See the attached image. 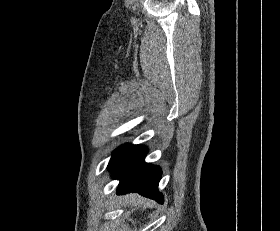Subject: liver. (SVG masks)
<instances>
[{"instance_id":"liver-1","label":"liver","mask_w":280,"mask_h":231,"mask_svg":"<svg viewBox=\"0 0 280 231\" xmlns=\"http://www.w3.org/2000/svg\"><path fill=\"white\" fill-rule=\"evenodd\" d=\"M146 201H147V205H150V201H149V199H146Z\"/></svg>"}]
</instances>
